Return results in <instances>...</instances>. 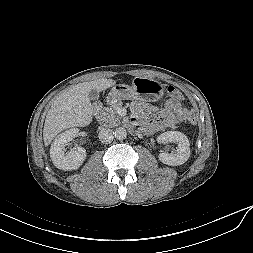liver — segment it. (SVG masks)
<instances>
[{"mask_svg": "<svg viewBox=\"0 0 253 253\" xmlns=\"http://www.w3.org/2000/svg\"><path fill=\"white\" fill-rule=\"evenodd\" d=\"M116 84L113 79H98L71 86L56 96L47 113L43 139L46 146L64 129L85 127L92 121L93 109L89 92L106 90Z\"/></svg>", "mask_w": 253, "mask_h": 253, "instance_id": "liver-1", "label": "liver"}]
</instances>
